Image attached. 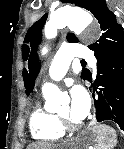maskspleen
Instances as JSON below:
<instances>
[{
    "label": "spleen",
    "instance_id": "3e777b00",
    "mask_svg": "<svg viewBox=\"0 0 124 149\" xmlns=\"http://www.w3.org/2000/svg\"><path fill=\"white\" fill-rule=\"evenodd\" d=\"M97 133V149H113L116 145V133L114 129L107 125L95 126Z\"/></svg>",
    "mask_w": 124,
    "mask_h": 149
}]
</instances>
